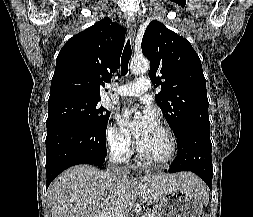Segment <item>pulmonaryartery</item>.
Segmentation results:
<instances>
[{
	"label": "pulmonary artery",
	"instance_id": "1",
	"mask_svg": "<svg viewBox=\"0 0 253 217\" xmlns=\"http://www.w3.org/2000/svg\"><path fill=\"white\" fill-rule=\"evenodd\" d=\"M150 80L147 77H139L135 82L127 83L116 89L119 97L141 96L150 89Z\"/></svg>",
	"mask_w": 253,
	"mask_h": 217
}]
</instances>
